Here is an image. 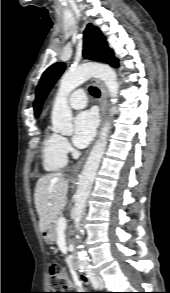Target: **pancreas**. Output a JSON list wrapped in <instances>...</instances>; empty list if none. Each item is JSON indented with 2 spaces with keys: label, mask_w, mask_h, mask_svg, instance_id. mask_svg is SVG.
Returning a JSON list of instances; mask_svg holds the SVG:
<instances>
[{
  "label": "pancreas",
  "mask_w": 170,
  "mask_h": 293,
  "mask_svg": "<svg viewBox=\"0 0 170 293\" xmlns=\"http://www.w3.org/2000/svg\"><path fill=\"white\" fill-rule=\"evenodd\" d=\"M61 217H62V215H58V216L54 219V221H53V223H52V225H51V227H50V230H51V232H52V235H53V238H54V239H56V237H57V222H58L59 218H61Z\"/></svg>",
  "instance_id": "cf45deb5"
}]
</instances>
